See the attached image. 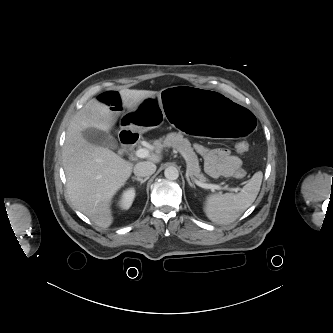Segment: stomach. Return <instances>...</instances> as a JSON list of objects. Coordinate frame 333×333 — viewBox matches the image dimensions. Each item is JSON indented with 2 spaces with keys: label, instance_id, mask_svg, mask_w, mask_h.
<instances>
[{
  "label": "stomach",
  "instance_id": "obj_1",
  "mask_svg": "<svg viewBox=\"0 0 333 333\" xmlns=\"http://www.w3.org/2000/svg\"><path fill=\"white\" fill-rule=\"evenodd\" d=\"M122 121L127 130L139 134L173 121L180 130L202 139L221 136L241 142L252 135L256 118L244 103H229L218 93L180 85L146 95Z\"/></svg>",
  "mask_w": 333,
  "mask_h": 333
}]
</instances>
